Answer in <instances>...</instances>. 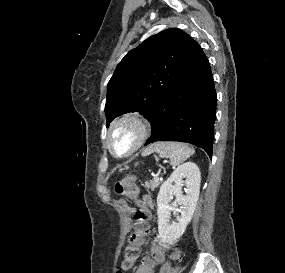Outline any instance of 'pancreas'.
<instances>
[{
	"mask_svg": "<svg viewBox=\"0 0 285 273\" xmlns=\"http://www.w3.org/2000/svg\"><path fill=\"white\" fill-rule=\"evenodd\" d=\"M160 183L161 182L159 179L158 180L153 179V180L145 182V186H146V188L154 191L160 185Z\"/></svg>",
	"mask_w": 285,
	"mask_h": 273,
	"instance_id": "obj_1",
	"label": "pancreas"
}]
</instances>
